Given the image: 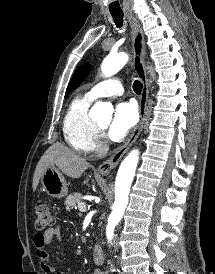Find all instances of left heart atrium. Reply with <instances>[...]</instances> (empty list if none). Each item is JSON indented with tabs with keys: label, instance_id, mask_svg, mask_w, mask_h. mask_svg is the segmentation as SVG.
<instances>
[{
	"label": "left heart atrium",
	"instance_id": "obj_1",
	"mask_svg": "<svg viewBox=\"0 0 215 274\" xmlns=\"http://www.w3.org/2000/svg\"><path fill=\"white\" fill-rule=\"evenodd\" d=\"M138 121V111L131 102H122L115 107L112 122L109 126V137L121 141Z\"/></svg>",
	"mask_w": 215,
	"mask_h": 274
}]
</instances>
